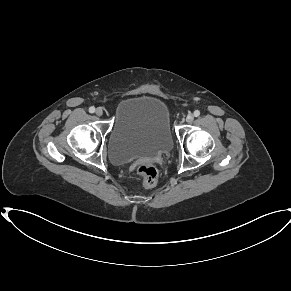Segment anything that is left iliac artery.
Here are the masks:
<instances>
[{"instance_id":"44dca946","label":"left iliac artery","mask_w":291,"mask_h":291,"mask_svg":"<svg viewBox=\"0 0 291 291\" xmlns=\"http://www.w3.org/2000/svg\"><path fill=\"white\" fill-rule=\"evenodd\" d=\"M199 115H200V111L199 110L194 111V116L195 117H198Z\"/></svg>"}]
</instances>
